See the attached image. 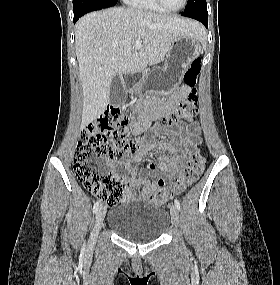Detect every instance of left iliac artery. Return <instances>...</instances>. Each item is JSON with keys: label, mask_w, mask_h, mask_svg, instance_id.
<instances>
[{"label": "left iliac artery", "mask_w": 280, "mask_h": 285, "mask_svg": "<svg viewBox=\"0 0 280 285\" xmlns=\"http://www.w3.org/2000/svg\"><path fill=\"white\" fill-rule=\"evenodd\" d=\"M174 203H175V206L177 207V209L180 210V202L177 199H175Z\"/></svg>", "instance_id": "1"}]
</instances>
